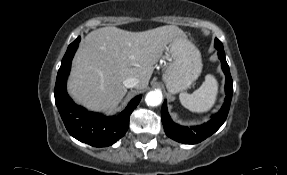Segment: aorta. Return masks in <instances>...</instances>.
Here are the masks:
<instances>
[{"label":"aorta","mask_w":287,"mask_h":175,"mask_svg":"<svg viewBox=\"0 0 287 175\" xmlns=\"http://www.w3.org/2000/svg\"><path fill=\"white\" fill-rule=\"evenodd\" d=\"M162 93L160 91H150L145 97L148 106H158L162 102Z\"/></svg>","instance_id":"1"}]
</instances>
